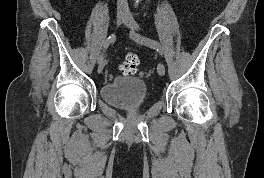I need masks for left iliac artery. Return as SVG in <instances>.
Segmentation results:
<instances>
[{
	"mask_svg": "<svg viewBox=\"0 0 264 178\" xmlns=\"http://www.w3.org/2000/svg\"><path fill=\"white\" fill-rule=\"evenodd\" d=\"M131 37L135 41H137L143 45H146V46H149L150 48L156 49L162 55L163 50H162L161 45L159 44L158 41H155V40H152L150 38L141 36V35L134 33V32H131Z\"/></svg>",
	"mask_w": 264,
	"mask_h": 178,
	"instance_id": "1",
	"label": "left iliac artery"
}]
</instances>
